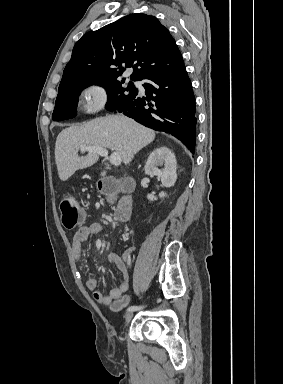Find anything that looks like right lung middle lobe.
<instances>
[{"label":"right lung middle lobe","instance_id":"dd1d6c3e","mask_svg":"<svg viewBox=\"0 0 283 384\" xmlns=\"http://www.w3.org/2000/svg\"><path fill=\"white\" fill-rule=\"evenodd\" d=\"M124 81V79L122 81L112 79L95 83L67 84L59 87L52 119L54 121H62L75 117L78 96L84 88L93 84L100 85L106 89L108 95L107 109L124 100L135 97L137 89L134 84L129 82L125 86L123 85Z\"/></svg>","mask_w":283,"mask_h":384}]
</instances>
